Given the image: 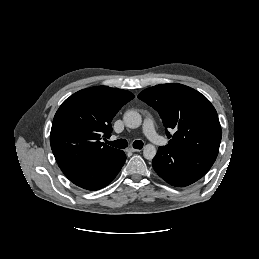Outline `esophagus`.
Instances as JSON below:
<instances>
[{
	"instance_id": "1",
	"label": "esophagus",
	"mask_w": 259,
	"mask_h": 259,
	"mask_svg": "<svg viewBox=\"0 0 259 259\" xmlns=\"http://www.w3.org/2000/svg\"><path fill=\"white\" fill-rule=\"evenodd\" d=\"M129 151L130 152H140L141 150L140 149H135V148H129Z\"/></svg>"
}]
</instances>
